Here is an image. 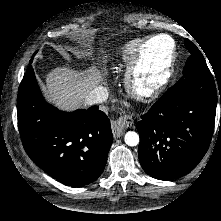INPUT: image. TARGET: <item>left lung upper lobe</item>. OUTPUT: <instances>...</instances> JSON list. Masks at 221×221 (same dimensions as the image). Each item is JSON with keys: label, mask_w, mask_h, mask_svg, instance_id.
Segmentation results:
<instances>
[{"label": "left lung upper lobe", "mask_w": 221, "mask_h": 221, "mask_svg": "<svg viewBox=\"0 0 221 221\" xmlns=\"http://www.w3.org/2000/svg\"><path fill=\"white\" fill-rule=\"evenodd\" d=\"M185 46L191 53V56L187 59L184 70L183 77L190 75H203L212 76L206 61L200 52V50L188 39L185 40Z\"/></svg>", "instance_id": "5c2ea615"}]
</instances>
